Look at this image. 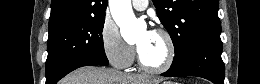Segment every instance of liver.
<instances>
[{
	"label": "liver",
	"instance_id": "obj_1",
	"mask_svg": "<svg viewBox=\"0 0 260 84\" xmlns=\"http://www.w3.org/2000/svg\"><path fill=\"white\" fill-rule=\"evenodd\" d=\"M147 75L127 74L115 69L86 66L67 75L62 84H158Z\"/></svg>",
	"mask_w": 260,
	"mask_h": 84
}]
</instances>
